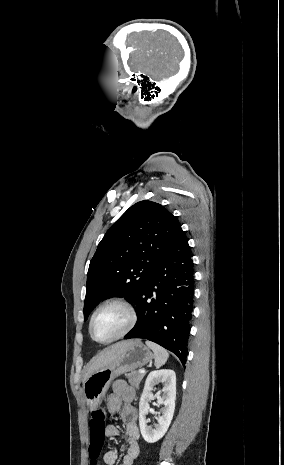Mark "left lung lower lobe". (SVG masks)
<instances>
[{"label": "left lung lower lobe", "mask_w": 284, "mask_h": 465, "mask_svg": "<svg viewBox=\"0 0 284 465\" xmlns=\"http://www.w3.org/2000/svg\"><path fill=\"white\" fill-rule=\"evenodd\" d=\"M135 304L138 321L124 338L153 341L176 354L184 365L194 308V270L182 229L155 265Z\"/></svg>", "instance_id": "left-lung-lower-lobe-1"}]
</instances>
